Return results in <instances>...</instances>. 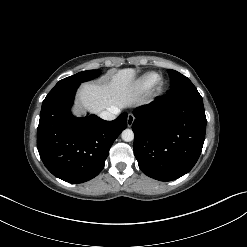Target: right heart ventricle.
I'll list each match as a JSON object with an SVG mask.
<instances>
[{
  "label": "right heart ventricle",
  "instance_id": "e07e8e85",
  "mask_svg": "<svg viewBox=\"0 0 247 247\" xmlns=\"http://www.w3.org/2000/svg\"><path fill=\"white\" fill-rule=\"evenodd\" d=\"M158 78V74L155 72L146 73L136 80L134 87L139 91L147 90L157 82Z\"/></svg>",
  "mask_w": 247,
  "mask_h": 247
}]
</instances>
